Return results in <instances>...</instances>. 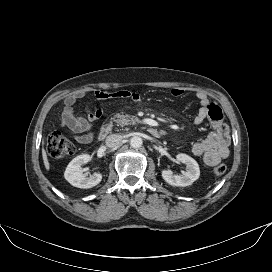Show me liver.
I'll use <instances>...</instances> for the list:
<instances>
[{
    "label": "liver",
    "instance_id": "1",
    "mask_svg": "<svg viewBox=\"0 0 272 272\" xmlns=\"http://www.w3.org/2000/svg\"><path fill=\"white\" fill-rule=\"evenodd\" d=\"M42 158H43V163H44V166H45L46 170H49L50 169V164H49V161H48V158H47V152L45 151L44 148H42Z\"/></svg>",
    "mask_w": 272,
    "mask_h": 272
}]
</instances>
